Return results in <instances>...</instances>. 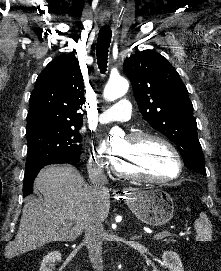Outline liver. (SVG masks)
Returning <instances> with one entry per match:
<instances>
[{
  "label": "liver",
  "instance_id": "obj_1",
  "mask_svg": "<svg viewBox=\"0 0 221 271\" xmlns=\"http://www.w3.org/2000/svg\"><path fill=\"white\" fill-rule=\"evenodd\" d=\"M42 197H28L22 209L14 241L4 249L5 257H16L48 241H73L83 233L92 213L108 217L110 199L95 197L91 185L72 165H50L40 169L34 181ZM66 221H72L68 227Z\"/></svg>",
  "mask_w": 221,
  "mask_h": 271
}]
</instances>
